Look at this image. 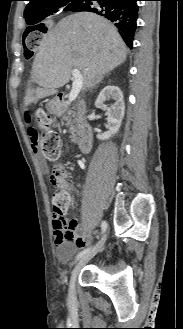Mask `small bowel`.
Masks as SVG:
<instances>
[{
  "label": "small bowel",
  "instance_id": "obj_1",
  "mask_svg": "<svg viewBox=\"0 0 183 329\" xmlns=\"http://www.w3.org/2000/svg\"><path fill=\"white\" fill-rule=\"evenodd\" d=\"M33 151L35 154H38V149L35 145L33 146ZM55 169L60 172V175L56 178V180L68 188L72 193L79 195L78 190L67 181L69 178L68 172L62 166H57ZM68 222L73 225L71 229L65 228L59 218L53 215V229L56 248H58L59 244L64 241L75 242L79 248L84 247L87 244V236L84 235L85 231L79 227V222L77 220L72 219ZM76 231H80L82 235L78 236Z\"/></svg>",
  "mask_w": 183,
  "mask_h": 329
}]
</instances>
